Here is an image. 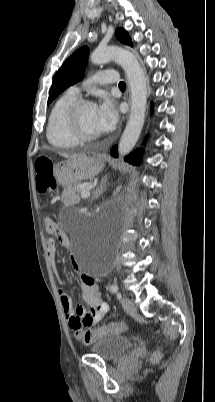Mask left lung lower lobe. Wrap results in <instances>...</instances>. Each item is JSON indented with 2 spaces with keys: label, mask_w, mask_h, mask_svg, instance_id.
Here are the masks:
<instances>
[{
  "label": "left lung lower lobe",
  "mask_w": 215,
  "mask_h": 402,
  "mask_svg": "<svg viewBox=\"0 0 215 402\" xmlns=\"http://www.w3.org/2000/svg\"><path fill=\"white\" fill-rule=\"evenodd\" d=\"M111 155L117 157V147L114 146L111 151ZM142 150H136L134 153L128 155L125 160L132 164H139L141 162Z\"/></svg>",
  "instance_id": "1"
}]
</instances>
